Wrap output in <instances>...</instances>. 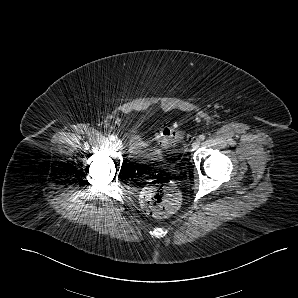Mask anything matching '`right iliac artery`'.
Returning a JSON list of instances; mask_svg holds the SVG:
<instances>
[{
	"label": "right iliac artery",
	"instance_id": "right-iliac-artery-1",
	"mask_svg": "<svg viewBox=\"0 0 298 298\" xmlns=\"http://www.w3.org/2000/svg\"><path fill=\"white\" fill-rule=\"evenodd\" d=\"M109 139H110L111 141H115V140H116V137H115L114 135H111V136H109Z\"/></svg>",
	"mask_w": 298,
	"mask_h": 298
}]
</instances>
